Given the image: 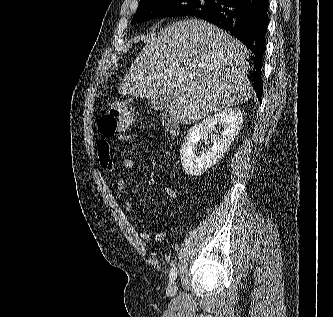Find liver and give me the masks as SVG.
<instances>
[{
    "instance_id": "1",
    "label": "liver",
    "mask_w": 333,
    "mask_h": 317,
    "mask_svg": "<svg viewBox=\"0 0 333 317\" xmlns=\"http://www.w3.org/2000/svg\"><path fill=\"white\" fill-rule=\"evenodd\" d=\"M248 49L218 27L197 19L174 22L143 47L119 93L139 98L169 96L167 112L182 124L247 102Z\"/></svg>"
}]
</instances>
